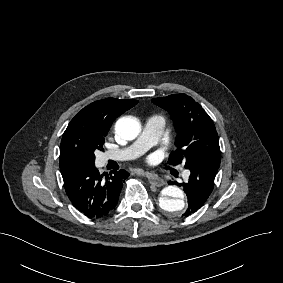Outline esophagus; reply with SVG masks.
Here are the masks:
<instances>
[{"label":"esophagus","instance_id":"1","mask_svg":"<svg viewBox=\"0 0 283 283\" xmlns=\"http://www.w3.org/2000/svg\"><path fill=\"white\" fill-rule=\"evenodd\" d=\"M139 174L146 176L149 179L150 183L154 186L161 187L165 184L164 180H162L155 174H151L143 171H140Z\"/></svg>","mask_w":283,"mask_h":283}]
</instances>
